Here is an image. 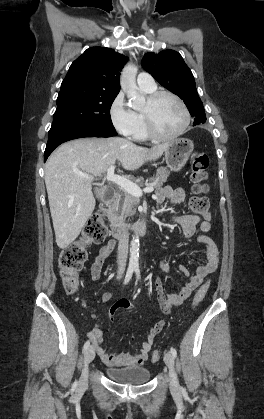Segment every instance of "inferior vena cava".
Segmentation results:
<instances>
[{
	"label": "inferior vena cava",
	"instance_id": "inferior-vena-cava-1",
	"mask_svg": "<svg viewBox=\"0 0 264 419\" xmlns=\"http://www.w3.org/2000/svg\"><path fill=\"white\" fill-rule=\"evenodd\" d=\"M129 235L126 228L123 229V234L119 239L117 263L120 270L124 271L126 266L128 254Z\"/></svg>",
	"mask_w": 264,
	"mask_h": 419
}]
</instances>
